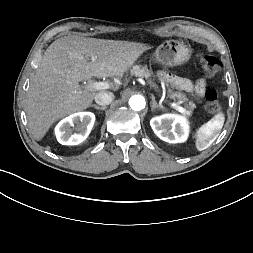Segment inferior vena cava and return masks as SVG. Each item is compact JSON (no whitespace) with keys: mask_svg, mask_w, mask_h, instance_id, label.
Returning <instances> with one entry per match:
<instances>
[{"mask_svg":"<svg viewBox=\"0 0 253 253\" xmlns=\"http://www.w3.org/2000/svg\"><path fill=\"white\" fill-rule=\"evenodd\" d=\"M94 99L98 105L105 106L113 101L114 94L112 92H99L95 95Z\"/></svg>","mask_w":253,"mask_h":253,"instance_id":"inferior-vena-cava-1","label":"inferior vena cava"}]
</instances>
